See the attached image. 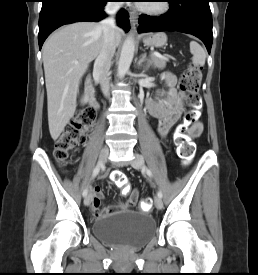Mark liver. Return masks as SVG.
I'll return each instance as SVG.
<instances>
[{
	"mask_svg": "<svg viewBox=\"0 0 258 275\" xmlns=\"http://www.w3.org/2000/svg\"><path fill=\"white\" fill-rule=\"evenodd\" d=\"M122 29L117 28V45ZM103 30L93 22L66 25L54 32L43 45V65L47 90L49 132L56 140L76 110L82 76L98 56Z\"/></svg>",
	"mask_w": 258,
	"mask_h": 275,
	"instance_id": "1",
	"label": "liver"
}]
</instances>
